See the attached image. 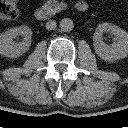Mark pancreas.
I'll list each match as a JSON object with an SVG mask.
<instances>
[{
	"instance_id": "obj_1",
	"label": "pancreas",
	"mask_w": 128,
	"mask_h": 128,
	"mask_svg": "<svg viewBox=\"0 0 128 128\" xmlns=\"http://www.w3.org/2000/svg\"><path fill=\"white\" fill-rule=\"evenodd\" d=\"M45 7L50 9L53 13L59 12L67 7L64 2H58V0H48L45 3Z\"/></svg>"
}]
</instances>
